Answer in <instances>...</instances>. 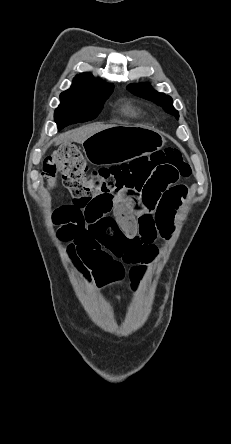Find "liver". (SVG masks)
I'll list each match as a JSON object with an SVG mask.
<instances>
[{"mask_svg": "<svg viewBox=\"0 0 231 444\" xmlns=\"http://www.w3.org/2000/svg\"><path fill=\"white\" fill-rule=\"evenodd\" d=\"M114 127V125H104L100 123L89 124L73 131L60 134L54 139L56 145L63 142L83 143L88 137L104 129Z\"/></svg>", "mask_w": 231, "mask_h": 444, "instance_id": "liver-1", "label": "liver"}]
</instances>
